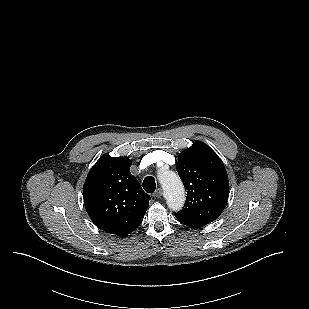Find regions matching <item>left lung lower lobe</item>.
<instances>
[{
	"label": "left lung lower lobe",
	"mask_w": 309,
	"mask_h": 309,
	"mask_svg": "<svg viewBox=\"0 0 309 309\" xmlns=\"http://www.w3.org/2000/svg\"><path fill=\"white\" fill-rule=\"evenodd\" d=\"M180 222L183 223L184 225H187L193 228H198L197 226L190 225L188 222H185V221H180Z\"/></svg>",
	"instance_id": "left-lung-lower-lobe-1"
}]
</instances>
